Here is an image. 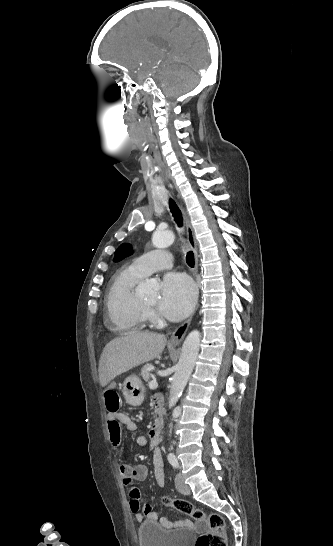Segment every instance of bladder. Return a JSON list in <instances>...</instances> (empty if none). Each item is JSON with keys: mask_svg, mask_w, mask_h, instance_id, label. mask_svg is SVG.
<instances>
[{"mask_svg": "<svg viewBox=\"0 0 333 546\" xmlns=\"http://www.w3.org/2000/svg\"><path fill=\"white\" fill-rule=\"evenodd\" d=\"M140 546H192L194 533L188 529L166 530L153 520H143L138 527Z\"/></svg>", "mask_w": 333, "mask_h": 546, "instance_id": "obj_1", "label": "bladder"}]
</instances>
